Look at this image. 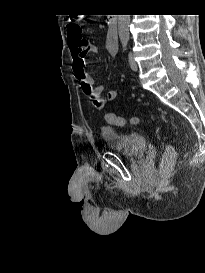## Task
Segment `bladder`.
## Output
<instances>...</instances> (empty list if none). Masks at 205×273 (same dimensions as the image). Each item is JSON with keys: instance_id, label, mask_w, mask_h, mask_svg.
I'll use <instances>...</instances> for the list:
<instances>
[{"instance_id": "1", "label": "bladder", "mask_w": 205, "mask_h": 273, "mask_svg": "<svg viewBox=\"0 0 205 273\" xmlns=\"http://www.w3.org/2000/svg\"><path fill=\"white\" fill-rule=\"evenodd\" d=\"M100 136L107 148L131 159H141L147 152V139L140 133H121L111 127L104 126L100 129Z\"/></svg>"}]
</instances>
